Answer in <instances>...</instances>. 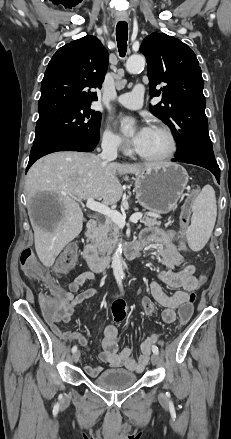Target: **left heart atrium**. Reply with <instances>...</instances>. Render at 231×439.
I'll return each instance as SVG.
<instances>
[{
    "label": "left heart atrium",
    "instance_id": "left-heart-atrium-1",
    "mask_svg": "<svg viewBox=\"0 0 231 439\" xmlns=\"http://www.w3.org/2000/svg\"><path fill=\"white\" fill-rule=\"evenodd\" d=\"M132 122H133V120L131 118H129V117L122 118L121 121H120L121 129L124 132L127 131L131 127ZM149 130H150V128L147 127V126L138 127L136 129L135 133L129 138L130 144L136 150H138V148L142 144V142L145 139V137L147 136Z\"/></svg>",
    "mask_w": 231,
    "mask_h": 439
}]
</instances>
